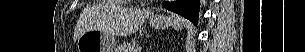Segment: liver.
<instances>
[{
    "label": "liver",
    "mask_w": 305,
    "mask_h": 52,
    "mask_svg": "<svg viewBox=\"0 0 305 52\" xmlns=\"http://www.w3.org/2000/svg\"><path fill=\"white\" fill-rule=\"evenodd\" d=\"M149 14V10L126 7L116 1L111 6L109 33L120 37L131 35L140 28ZM91 29L96 28L91 27L90 20L85 15L75 28L74 40L76 41L82 33Z\"/></svg>",
    "instance_id": "1"
}]
</instances>
